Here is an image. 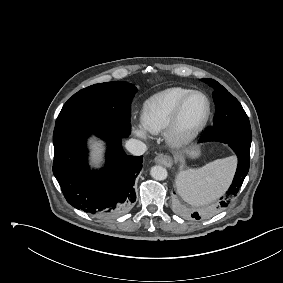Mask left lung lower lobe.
I'll return each mask as SVG.
<instances>
[{"label":"left lung lower lobe","mask_w":283,"mask_h":283,"mask_svg":"<svg viewBox=\"0 0 283 283\" xmlns=\"http://www.w3.org/2000/svg\"><path fill=\"white\" fill-rule=\"evenodd\" d=\"M199 141L205 142V141H211V140L207 139L206 133H204ZM227 144L236 153L237 158H238V166H237V170H236L232 185L227 191V195L225 197L220 198V202L212 210L213 212H216L226 207L229 203V199L233 196H236V194L238 193L249 171L250 146H245V145L236 144V143H227ZM191 216L192 218H195L197 220L201 218V216L197 212H194Z\"/></svg>","instance_id":"obj_1"}]
</instances>
